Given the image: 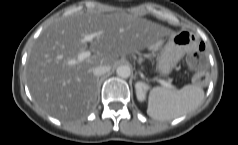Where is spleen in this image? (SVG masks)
Returning a JSON list of instances; mask_svg holds the SVG:
<instances>
[{
    "label": "spleen",
    "instance_id": "1",
    "mask_svg": "<svg viewBox=\"0 0 238 145\" xmlns=\"http://www.w3.org/2000/svg\"><path fill=\"white\" fill-rule=\"evenodd\" d=\"M203 99L204 90L197 85L180 90L154 87L149 93L147 114L160 121L172 120L196 109Z\"/></svg>",
    "mask_w": 238,
    "mask_h": 145
}]
</instances>
